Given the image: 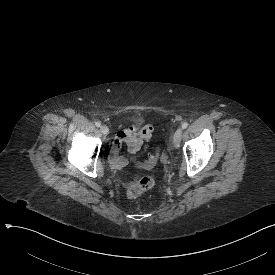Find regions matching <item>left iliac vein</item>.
<instances>
[{"instance_id": "left-iliac-vein-1", "label": "left iliac vein", "mask_w": 275, "mask_h": 275, "mask_svg": "<svg viewBox=\"0 0 275 275\" xmlns=\"http://www.w3.org/2000/svg\"><path fill=\"white\" fill-rule=\"evenodd\" d=\"M182 135H183V129L182 128H178L173 136V143H174V146H179V143L181 141V138H182Z\"/></svg>"}]
</instances>
